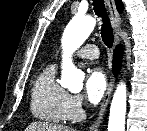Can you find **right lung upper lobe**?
<instances>
[{
  "mask_svg": "<svg viewBox=\"0 0 147 131\" xmlns=\"http://www.w3.org/2000/svg\"><path fill=\"white\" fill-rule=\"evenodd\" d=\"M116 1V6H117V9L118 11L121 13L122 10H123V3L121 0H115Z\"/></svg>",
  "mask_w": 147,
  "mask_h": 131,
  "instance_id": "cb5924a9",
  "label": "right lung upper lobe"
}]
</instances>
